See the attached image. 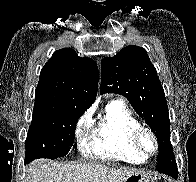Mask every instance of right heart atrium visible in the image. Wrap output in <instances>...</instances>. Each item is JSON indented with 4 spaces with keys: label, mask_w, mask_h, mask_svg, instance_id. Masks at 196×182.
I'll use <instances>...</instances> for the list:
<instances>
[{
    "label": "right heart atrium",
    "mask_w": 196,
    "mask_h": 182,
    "mask_svg": "<svg viewBox=\"0 0 196 182\" xmlns=\"http://www.w3.org/2000/svg\"><path fill=\"white\" fill-rule=\"evenodd\" d=\"M90 120V113L86 112L78 121L77 127H76V138L78 142H81L83 135L86 131L87 125Z\"/></svg>",
    "instance_id": "right-heart-atrium-1"
}]
</instances>
